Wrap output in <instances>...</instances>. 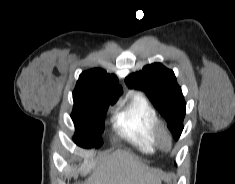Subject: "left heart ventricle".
<instances>
[{
  "label": "left heart ventricle",
  "mask_w": 235,
  "mask_h": 184,
  "mask_svg": "<svg viewBox=\"0 0 235 184\" xmlns=\"http://www.w3.org/2000/svg\"><path fill=\"white\" fill-rule=\"evenodd\" d=\"M164 143H165L166 145H168V144H169V142H168V139H167V138H165V139H164Z\"/></svg>",
  "instance_id": "1"
}]
</instances>
